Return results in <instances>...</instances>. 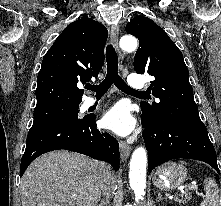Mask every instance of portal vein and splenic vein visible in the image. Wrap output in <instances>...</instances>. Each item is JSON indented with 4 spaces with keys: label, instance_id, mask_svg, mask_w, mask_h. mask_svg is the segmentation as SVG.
Listing matches in <instances>:
<instances>
[{
    "label": "portal vein and splenic vein",
    "instance_id": "obj_1",
    "mask_svg": "<svg viewBox=\"0 0 221 206\" xmlns=\"http://www.w3.org/2000/svg\"><path fill=\"white\" fill-rule=\"evenodd\" d=\"M192 190L198 193V187L196 185H191L186 187L185 189H181V193H186V191Z\"/></svg>",
    "mask_w": 221,
    "mask_h": 206
}]
</instances>
